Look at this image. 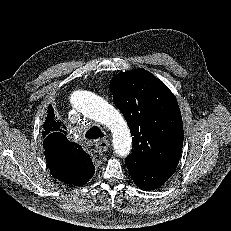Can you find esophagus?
I'll list each match as a JSON object with an SVG mask.
<instances>
[{"mask_svg":"<svg viewBox=\"0 0 231 231\" xmlns=\"http://www.w3.org/2000/svg\"><path fill=\"white\" fill-rule=\"evenodd\" d=\"M109 146H110V142L105 139H100L95 144L96 151L99 153L106 152Z\"/></svg>","mask_w":231,"mask_h":231,"instance_id":"1","label":"esophagus"}]
</instances>
